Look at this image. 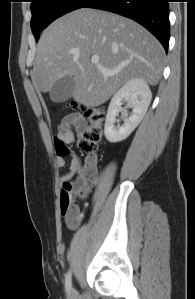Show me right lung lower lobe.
<instances>
[{
    "label": "right lung lower lobe",
    "instance_id": "obj_1",
    "mask_svg": "<svg viewBox=\"0 0 195 299\" xmlns=\"http://www.w3.org/2000/svg\"><path fill=\"white\" fill-rule=\"evenodd\" d=\"M84 7L114 12L149 30L167 52L169 44L168 0H90Z\"/></svg>",
    "mask_w": 195,
    "mask_h": 299
}]
</instances>
